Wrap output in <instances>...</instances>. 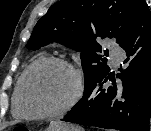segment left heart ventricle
Returning <instances> with one entry per match:
<instances>
[{"mask_svg": "<svg viewBox=\"0 0 151 131\" xmlns=\"http://www.w3.org/2000/svg\"><path fill=\"white\" fill-rule=\"evenodd\" d=\"M73 86V77L66 68L57 64L41 66L27 81L23 105L35 113L54 111L67 101Z\"/></svg>", "mask_w": 151, "mask_h": 131, "instance_id": "1", "label": "left heart ventricle"}]
</instances>
